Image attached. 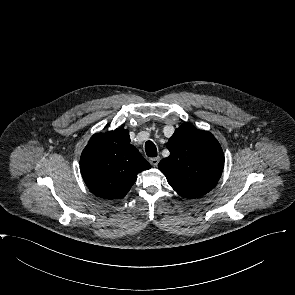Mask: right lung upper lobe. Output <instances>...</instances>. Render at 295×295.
Returning a JSON list of instances; mask_svg holds the SVG:
<instances>
[{"label":"right lung upper lobe","instance_id":"1","mask_svg":"<svg viewBox=\"0 0 295 295\" xmlns=\"http://www.w3.org/2000/svg\"><path fill=\"white\" fill-rule=\"evenodd\" d=\"M81 174L89 190L105 199L123 198L150 164L130 144L129 131L118 128L92 136L80 158Z\"/></svg>","mask_w":295,"mask_h":295}]
</instances>
